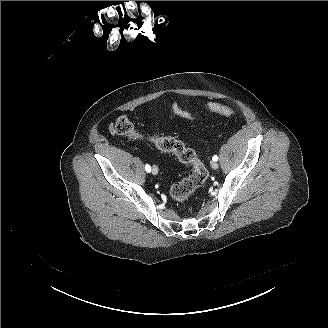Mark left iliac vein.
<instances>
[{
    "mask_svg": "<svg viewBox=\"0 0 328 328\" xmlns=\"http://www.w3.org/2000/svg\"><path fill=\"white\" fill-rule=\"evenodd\" d=\"M218 163L216 162V161H212L211 162V167L213 168V169H217L218 168Z\"/></svg>",
    "mask_w": 328,
    "mask_h": 328,
    "instance_id": "obj_1",
    "label": "left iliac vein"
}]
</instances>
